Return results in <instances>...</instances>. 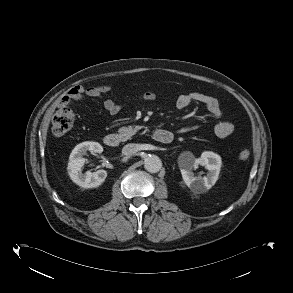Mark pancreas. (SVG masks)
<instances>
[{
    "instance_id": "1",
    "label": "pancreas",
    "mask_w": 293,
    "mask_h": 293,
    "mask_svg": "<svg viewBox=\"0 0 293 293\" xmlns=\"http://www.w3.org/2000/svg\"><path fill=\"white\" fill-rule=\"evenodd\" d=\"M141 126H128V127H121L118 130V133L125 139H130L136 132L141 129Z\"/></svg>"
}]
</instances>
